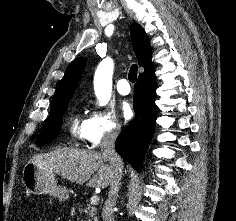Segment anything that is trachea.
<instances>
[{
  "label": "trachea",
  "mask_w": 236,
  "mask_h": 221,
  "mask_svg": "<svg viewBox=\"0 0 236 221\" xmlns=\"http://www.w3.org/2000/svg\"><path fill=\"white\" fill-rule=\"evenodd\" d=\"M138 67L136 64L132 65L129 70L128 78L132 83L136 82Z\"/></svg>",
  "instance_id": "1"
}]
</instances>
